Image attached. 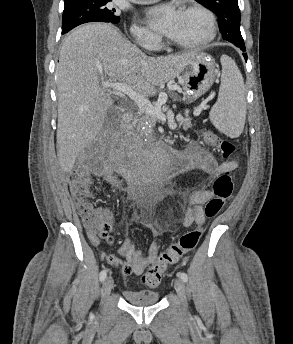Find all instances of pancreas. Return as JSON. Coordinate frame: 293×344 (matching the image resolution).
Returning <instances> with one entry per match:
<instances>
[{
  "label": "pancreas",
  "instance_id": "cf45deb5",
  "mask_svg": "<svg viewBox=\"0 0 293 344\" xmlns=\"http://www.w3.org/2000/svg\"><path fill=\"white\" fill-rule=\"evenodd\" d=\"M170 96L173 99L179 98L177 96V94H175L173 92H170ZM137 123H138L137 128L139 131H142V128L144 127L145 130L142 132H147L148 130H151V128L155 126L156 118H154L153 116H151L149 114H141L137 120ZM181 125L184 127V129H188L191 127V122L189 119H184L181 121Z\"/></svg>",
  "mask_w": 293,
  "mask_h": 344
}]
</instances>
